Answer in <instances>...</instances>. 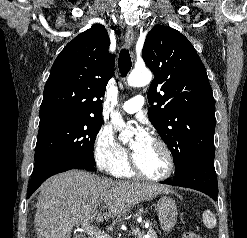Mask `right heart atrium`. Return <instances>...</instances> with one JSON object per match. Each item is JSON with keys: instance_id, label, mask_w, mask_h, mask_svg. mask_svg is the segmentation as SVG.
<instances>
[{"instance_id": "1", "label": "right heart atrium", "mask_w": 247, "mask_h": 238, "mask_svg": "<svg viewBox=\"0 0 247 238\" xmlns=\"http://www.w3.org/2000/svg\"><path fill=\"white\" fill-rule=\"evenodd\" d=\"M93 154L98 167L111 173L128 161L126 151L116 142L112 130L105 125L99 128L95 136Z\"/></svg>"}]
</instances>
